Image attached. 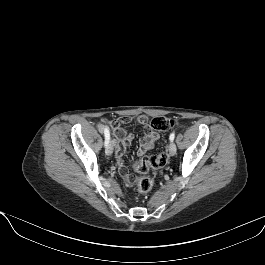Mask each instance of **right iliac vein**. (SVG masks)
Here are the masks:
<instances>
[{
	"mask_svg": "<svg viewBox=\"0 0 265 265\" xmlns=\"http://www.w3.org/2000/svg\"><path fill=\"white\" fill-rule=\"evenodd\" d=\"M113 146H114V141H110L105 149V153L107 155H111L113 153Z\"/></svg>",
	"mask_w": 265,
	"mask_h": 265,
	"instance_id": "obj_1",
	"label": "right iliac vein"
}]
</instances>
